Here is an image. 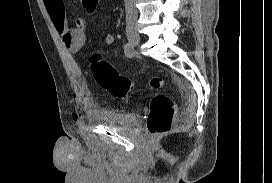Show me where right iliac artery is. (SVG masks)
<instances>
[{
	"instance_id": "82829eb1",
	"label": "right iliac artery",
	"mask_w": 272,
	"mask_h": 183,
	"mask_svg": "<svg viewBox=\"0 0 272 183\" xmlns=\"http://www.w3.org/2000/svg\"><path fill=\"white\" fill-rule=\"evenodd\" d=\"M124 53L127 57L132 58L135 54L133 45L129 42L124 45Z\"/></svg>"
}]
</instances>
